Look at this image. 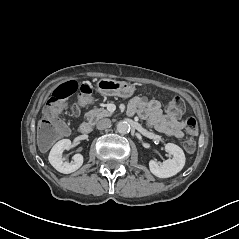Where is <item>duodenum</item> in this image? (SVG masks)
Segmentation results:
<instances>
[{"instance_id":"410a0bca","label":"duodenum","mask_w":239,"mask_h":239,"mask_svg":"<svg viewBox=\"0 0 239 239\" xmlns=\"http://www.w3.org/2000/svg\"><path fill=\"white\" fill-rule=\"evenodd\" d=\"M92 129V125L89 122H83L79 126V133L82 135H86L90 133Z\"/></svg>"}]
</instances>
